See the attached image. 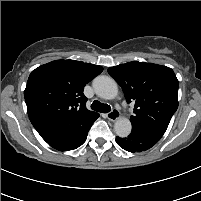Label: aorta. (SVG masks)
I'll return each mask as SVG.
<instances>
[{"label":"aorta","instance_id":"762f6f07","mask_svg":"<svg viewBox=\"0 0 201 201\" xmlns=\"http://www.w3.org/2000/svg\"><path fill=\"white\" fill-rule=\"evenodd\" d=\"M93 88L96 95L102 99L112 100L118 95V85L116 81L109 76H97L93 80ZM132 130L129 119L120 118L114 124V131L121 138L127 137Z\"/></svg>","mask_w":201,"mask_h":201}]
</instances>
